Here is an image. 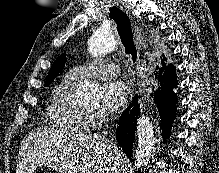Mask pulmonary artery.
<instances>
[{"label":"pulmonary artery","mask_w":219,"mask_h":173,"mask_svg":"<svg viewBox=\"0 0 219 173\" xmlns=\"http://www.w3.org/2000/svg\"><path fill=\"white\" fill-rule=\"evenodd\" d=\"M118 74L119 67L116 64L102 59H93L70 69L66 77L77 83L89 78L108 79Z\"/></svg>","instance_id":"1"}]
</instances>
